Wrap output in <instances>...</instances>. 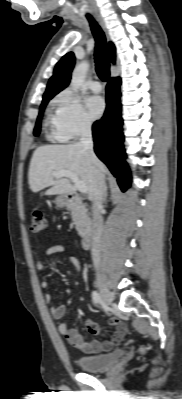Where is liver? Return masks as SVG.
Instances as JSON below:
<instances>
[{
	"label": "liver",
	"instance_id": "liver-1",
	"mask_svg": "<svg viewBox=\"0 0 182 399\" xmlns=\"http://www.w3.org/2000/svg\"><path fill=\"white\" fill-rule=\"evenodd\" d=\"M97 168L106 173V167L99 161ZM95 165L79 143L67 145H44L38 147L31 158L28 181L36 193L50 187L46 195H68L73 186L68 178H55L53 173L67 170L75 173L87 187L88 199L94 198Z\"/></svg>",
	"mask_w": 182,
	"mask_h": 399
}]
</instances>
